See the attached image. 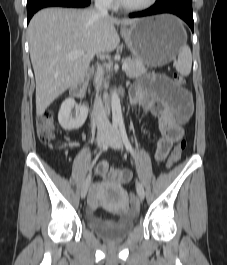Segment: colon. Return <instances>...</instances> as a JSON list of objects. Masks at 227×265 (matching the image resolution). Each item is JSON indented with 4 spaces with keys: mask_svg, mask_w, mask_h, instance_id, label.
I'll return each mask as SVG.
<instances>
[{
    "mask_svg": "<svg viewBox=\"0 0 227 265\" xmlns=\"http://www.w3.org/2000/svg\"><path fill=\"white\" fill-rule=\"evenodd\" d=\"M173 78L177 85L185 84V77L183 75L176 73L174 74ZM36 128H37L38 137L41 142L49 143L55 138L56 128L54 124L53 112L51 110H46L38 116L36 122ZM185 146L186 142L184 140H180L177 142V144L173 148L168 158L167 161L168 168H171L179 161ZM102 176H103L102 174H99L98 178L101 179ZM130 201L132 204H136L137 199L134 194L130 195Z\"/></svg>",
    "mask_w": 227,
    "mask_h": 265,
    "instance_id": "colon-1",
    "label": "colon"
}]
</instances>
